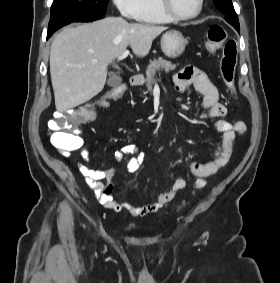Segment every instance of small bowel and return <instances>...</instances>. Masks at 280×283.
<instances>
[{"mask_svg": "<svg viewBox=\"0 0 280 283\" xmlns=\"http://www.w3.org/2000/svg\"><path fill=\"white\" fill-rule=\"evenodd\" d=\"M174 84L178 90L193 86L203 96L199 118L201 120H215V127L222 134V143L214 151L212 160L205 163L192 161L189 165L191 174L197 177L194 183V189L197 190L205 186L207 177L215 174L221 166L227 163L238 136L246 133L247 126L241 120L229 122L222 119L227 114V108L219 102L217 87L203 71L195 67H187L174 77ZM77 150H79L82 161H88L90 152L83 146V141ZM178 152H181V148L178 149ZM115 159L117 161H126L127 171L136 173L144 163L146 155L140 152L136 145L126 144L115 152ZM77 167L86 184L94 191L102 206L114 212H127L133 217H142L158 211L171 202L186 187L185 179L178 178L154 202L135 205L127 201H117L113 197L114 169L93 170L80 161L77 163ZM101 180H105V183H102Z\"/></svg>", "mask_w": 280, "mask_h": 283, "instance_id": "1", "label": "small bowel"}]
</instances>
